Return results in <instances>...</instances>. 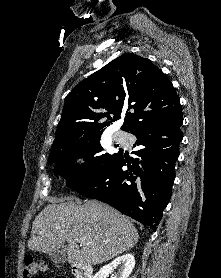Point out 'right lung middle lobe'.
<instances>
[{
  "instance_id": "right-lung-middle-lobe-1",
  "label": "right lung middle lobe",
  "mask_w": 221,
  "mask_h": 278,
  "mask_svg": "<svg viewBox=\"0 0 221 278\" xmlns=\"http://www.w3.org/2000/svg\"><path fill=\"white\" fill-rule=\"evenodd\" d=\"M118 153H104L100 145V135H97L51 150L48 163L57 162L55 174L64 177L67 185L77 190L103 172ZM78 157H83L86 162L75 168L74 161Z\"/></svg>"
}]
</instances>
